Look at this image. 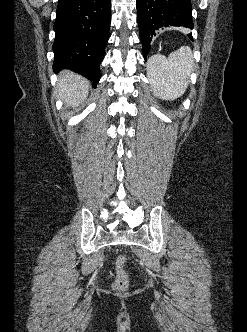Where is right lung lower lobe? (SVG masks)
Returning a JSON list of instances; mask_svg holds the SVG:
<instances>
[{"mask_svg":"<svg viewBox=\"0 0 247 332\" xmlns=\"http://www.w3.org/2000/svg\"><path fill=\"white\" fill-rule=\"evenodd\" d=\"M111 0H58L53 69L77 72L94 83L109 39Z\"/></svg>","mask_w":247,"mask_h":332,"instance_id":"right-lung-lower-lobe-1","label":"right lung lower lobe"}]
</instances>
